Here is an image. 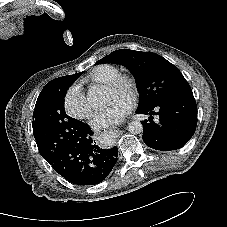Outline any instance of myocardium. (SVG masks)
Wrapping results in <instances>:
<instances>
[{
    "label": "myocardium",
    "instance_id": "f54148a6",
    "mask_svg": "<svg viewBox=\"0 0 227 227\" xmlns=\"http://www.w3.org/2000/svg\"><path fill=\"white\" fill-rule=\"evenodd\" d=\"M107 88H120L124 87L128 92V97L134 100L137 95V83L135 78L129 73H119L111 81L106 84Z\"/></svg>",
    "mask_w": 227,
    "mask_h": 227
}]
</instances>
